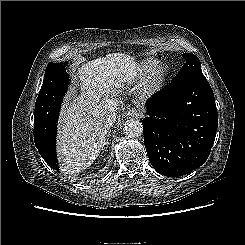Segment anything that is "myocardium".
Returning <instances> with one entry per match:
<instances>
[{"mask_svg":"<svg viewBox=\"0 0 245 245\" xmlns=\"http://www.w3.org/2000/svg\"><path fill=\"white\" fill-rule=\"evenodd\" d=\"M164 66L161 61L153 60L149 63L142 81V92L144 95H151L156 89L163 75Z\"/></svg>","mask_w":245,"mask_h":245,"instance_id":"1","label":"myocardium"}]
</instances>
